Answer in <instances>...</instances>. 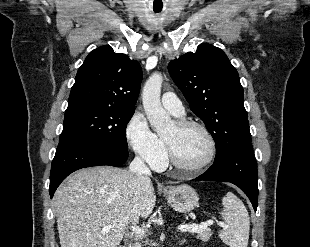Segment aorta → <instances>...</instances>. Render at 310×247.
<instances>
[{
    "label": "aorta",
    "instance_id": "762f6f07",
    "mask_svg": "<svg viewBox=\"0 0 310 247\" xmlns=\"http://www.w3.org/2000/svg\"><path fill=\"white\" fill-rule=\"evenodd\" d=\"M163 77L160 73H153L145 82L142 91V101L151 128L156 132H163L171 125L170 115L163 109L160 101Z\"/></svg>",
    "mask_w": 310,
    "mask_h": 247
}]
</instances>
